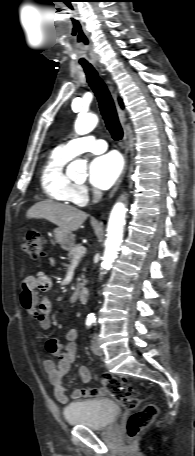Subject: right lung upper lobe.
Returning a JSON list of instances; mask_svg holds the SVG:
<instances>
[{"instance_id":"1","label":"right lung upper lobe","mask_w":195,"mask_h":456,"mask_svg":"<svg viewBox=\"0 0 195 456\" xmlns=\"http://www.w3.org/2000/svg\"><path fill=\"white\" fill-rule=\"evenodd\" d=\"M119 102H120V105L122 106V101H121V99H119Z\"/></svg>"}]
</instances>
